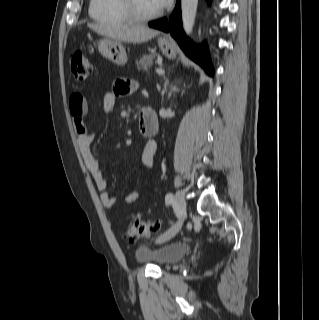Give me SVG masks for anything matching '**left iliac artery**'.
Wrapping results in <instances>:
<instances>
[{
    "label": "left iliac artery",
    "mask_w": 319,
    "mask_h": 320,
    "mask_svg": "<svg viewBox=\"0 0 319 320\" xmlns=\"http://www.w3.org/2000/svg\"><path fill=\"white\" fill-rule=\"evenodd\" d=\"M165 202H166V204H171V203L174 202V196H173L172 193H168V194L166 195V197H165ZM168 232H169V230H168L166 233H164L163 236L166 235Z\"/></svg>",
    "instance_id": "44dca946"
}]
</instances>
